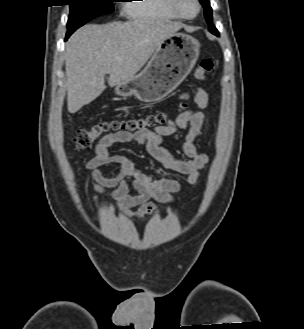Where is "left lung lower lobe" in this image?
<instances>
[{
  "instance_id": "obj_1",
  "label": "left lung lower lobe",
  "mask_w": 304,
  "mask_h": 329,
  "mask_svg": "<svg viewBox=\"0 0 304 329\" xmlns=\"http://www.w3.org/2000/svg\"><path fill=\"white\" fill-rule=\"evenodd\" d=\"M211 33L215 34V35H218V31L217 29L215 28L214 26V29L210 30Z\"/></svg>"
}]
</instances>
